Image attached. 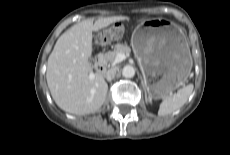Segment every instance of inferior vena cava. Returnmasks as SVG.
Masks as SVG:
<instances>
[{"label": "inferior vena cava", "mask_w": 230, "mask_h": 155, "mask_svg": "<svg viewBox=\"0 0 230 155\" xmlns=\"http://www.w3.org/2000/svg\"><path fill=\"white\" fill-rule=\"evenodd\" d=\"M115 74H116V68H111L106 73V79L108 81H111L115 77Z\"/></svg>", "instance_id": "inferior-vena-cava-1"}]
</instances>
